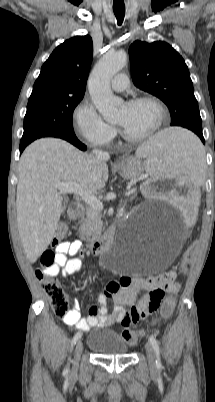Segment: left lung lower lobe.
Wrapping results in <instances>:
<instances>
[{
    "instance_id": "obj_1",
    "label": "left lung lower lobe",
    "mask_w": 215,
    "mask_h": 402,
    "mask_svg": "<svg viewBox=\"0 0 215 402\" xmlns=\"http://www.w3.org/2000/svg\"><path fill=\"white\" fill-rule=\"evenodd\" d=\"M198 136L200 137V139L202 140V142L205 143L203 134H202V135L200 134V135H198Z\"/></svg>"
}]
</instances>
